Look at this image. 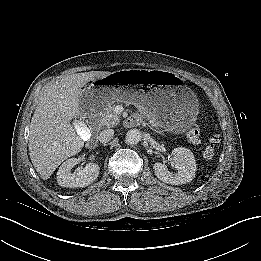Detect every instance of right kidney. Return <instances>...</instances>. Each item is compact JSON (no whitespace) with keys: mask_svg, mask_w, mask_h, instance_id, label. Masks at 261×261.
Masks as SVG:
<instances>
[{"mask_svg":"<svg viewBox=\"0 0 261 261\" xmlns=\"http://www.w3.org/2000/svg\"><path fill=\"white\" fill-rule=\"evenodd\" d=\"M81 126L87 128L85 124H81ZM77 163V158H70L59 167L57 182L60 186L69 188L86 187L97 179L100 171L97 164L89 163L83 169L71 173L72 167Z\"/></svg>","mask_w":261,"mask_h":261,"instance_id":"1","label":"right kidney"}]
</instances>
